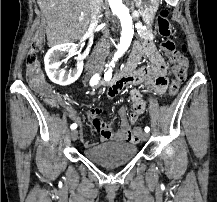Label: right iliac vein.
<instances>
[{"instance_id": "obj_1", "label": "right iliac vein", "mask_w": 217, "mask_h": 202, "mask_svg": "<svg viewBox=\"0 0 217 202\" xmlns=\"http://www.w3.org/2000/svg\"><path fill=\"white\" fill-rule=\"evenodd\" d=\"M78 137V131L77 130H74L71 132V138L73 141H75Z\"/></svg>"}]
</instances>
